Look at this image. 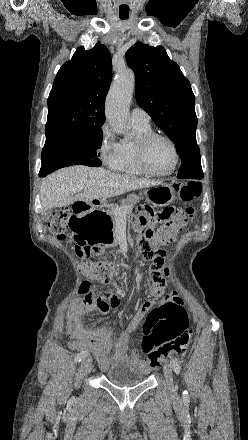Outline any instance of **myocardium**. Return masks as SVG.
<instances>
[{
    "label": "myocardium",
    "mask_w": 248,
    "mask_h": 440,
    "mask_svg": "<svg viewBox=\"0 0 248 440\" xmlns=\"http://www.w3.org/2000/svg\"><path fill=\"white\" fill-rule=\"evenodd\" d=\"M158 139L165 140L166 142H168L171 145L173 153H174V158H175L174 164H173L172 168L166 172H156V171L152 170L148 164L149 148H150L151 144L155 140H158ZM136 160H137V164H138L139 168L141 169V171L144 174L149 175V176H153V177H166V176L173 174L176 171V169L179 165V161H180V154H179L178 147L173 139H171L169 136L161 134V133L151 132L149 134L142 136L137 141Z\"/></svg>",
    "instance_id": "1"
}]
</instances>
